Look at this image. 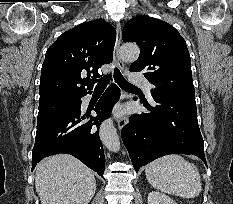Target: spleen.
<instances>
[{"label": "spleen", "mask_w": 233, "mask_h": 204, "mask_svg": "<svg viewBox=\"0 0 233 204\" xmlns=\"http://www.w3.org/2000/svg\"><path fill=\"white\" fill-rule=\"evenodd\" d=\"M148 182L156 189L180 196L197 197L202 189L197 167L180 155H167L146 166Z\"/></svg>", "instance_id": "spleen-1"}]
</instances>
